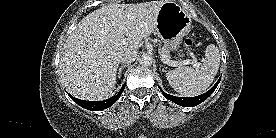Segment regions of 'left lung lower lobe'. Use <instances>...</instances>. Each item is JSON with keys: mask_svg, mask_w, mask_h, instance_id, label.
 Segmentation results:
<instances>
[{"mask_svg": "<svg viewBox=\"0 0 276 138\" xmlns=\"http://www.w3.org/2000/svg\"><path fill=\"white\" fill-rule=\"evenodd\" d=\"M221 78H219V80L216 82V84L206 93L199 95V96H195V97H176V96H172L169 95L165 92H163L160 88V90L162 91L163 95L170 101L180 105V106H184V107H193L196 106L200 103H202L203 101H205L216 89V87L218 86L219 82H220Z\"/></svg>", "mask_w": 276, "mask_h": 138, "instance_id": "obj_1", "label": "left lung lower lobe"}]
</instances>
